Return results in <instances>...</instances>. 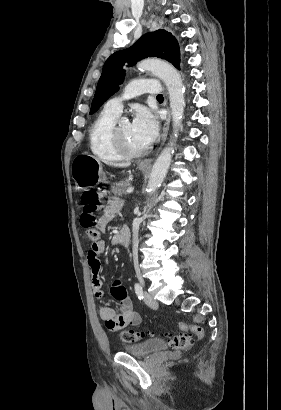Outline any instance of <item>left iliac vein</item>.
I'll return each instance as SVG.
<instances>
[{
	"label": "left iliac vein",
	"instance_id": "4c4485c4",
	"mask_svg": "<svg viewBox=\"0 0 281 410\" xmlns=\"http://www.w3.org/2000/svg\"><path fill=\"white\" fill-rule=\"evenodd\" d=\"M143 299L146 305L149 307H157L158 303L157 301L151 296L149 293H144Z\"/></svg>",
	"mask_w": 281,
	"mask_h": 410
}]
</instances>
